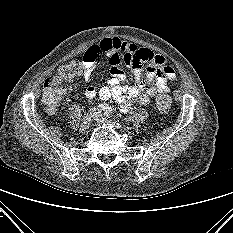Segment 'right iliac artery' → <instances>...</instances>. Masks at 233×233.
Here are the masks:
<instances>
[{
    "mask_svg": "<svg viewBox=\"0 0 233 233\" xmlns=\"http://www.w3.org/2000/svg\"><path fill=\"white\" fill-rule=\"evenodd\" d=\"M109 109H110V108H109V105L106 104V103L100 104V105L98 106V110H100V111H107V110H109Z\"/></svg>",
    "mask_w": 233,
    "mask_h": 233,
    "instance_id": "obj_1",
    "label": "right iliac artery"
}]
</instances>
